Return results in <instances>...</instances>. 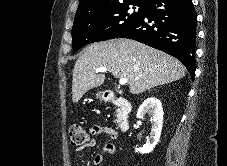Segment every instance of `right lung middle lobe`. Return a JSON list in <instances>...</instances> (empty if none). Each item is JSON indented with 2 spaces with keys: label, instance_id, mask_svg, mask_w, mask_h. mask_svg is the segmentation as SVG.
I'll return each mask as SVG.
<instances>
[{
  "label": "right lung middle lobe",
  "instance_id": "obj_1",
  "mask_svg": "<svg viewBox=\"0 0 227 166\" xmlns=\"http://www.w3.org/2000/svg\"><path fill=\"white\" fill-rule=\"evenodd\" d=\"M129 5L138 6V12H131ZM145 5L123 4L105 9L76 13L72 28V48L116 38L144 15Z\"/></svg>",
  "mask_w": 227,
  "mask_h": 166
}]
</instances>
